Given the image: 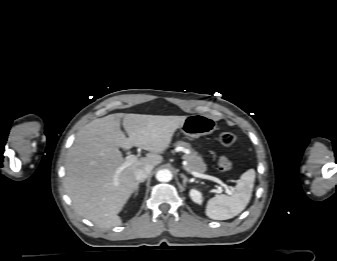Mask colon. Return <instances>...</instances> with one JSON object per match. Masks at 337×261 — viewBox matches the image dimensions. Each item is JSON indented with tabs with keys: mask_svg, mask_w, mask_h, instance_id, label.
I'll return each instance as SVG.
<instances>
[{
	"mask_svg": "<svg viewBox=\"0 0 337 261\" xmlns=\"http://www.w3.org/2000/svg\"><path fill=\"white\" fill-rule=\"evenodd\" d=\"M236 141V137L233 133L224 131L219 135V142L224 147L232 146ZM218 167L223 172H229L232 170V162L226 156H221L218 160Z\"/></svg>",
	"mask_w": 337,
	"mask_h": 261,
	"instance_id": "obj_1",
	"label": "colon"
}]
</instances>
